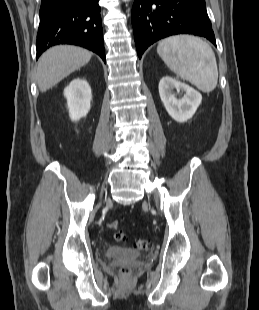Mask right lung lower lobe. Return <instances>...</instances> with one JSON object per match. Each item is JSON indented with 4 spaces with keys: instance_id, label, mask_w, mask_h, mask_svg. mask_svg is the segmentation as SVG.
Listing matches in <instances>:
<instances>
[{
    "instance_id": "right-lung-lower-lobe-1",
    "label": "right lung lower lobe",
    "mask_w": 259,
    "mask_h": 310,
    "mask_svg": "<svg viewBox=\"0 0 259 310\" xmlns=\"http://www.w3.org/2000/svg\"><path fill=\"white\" fill-rule=\"evenodd\" d=\"M99 0H42L37 58L49 47L74 44L97 53L105 62Z\"/></svg>"
}]
</instances>
